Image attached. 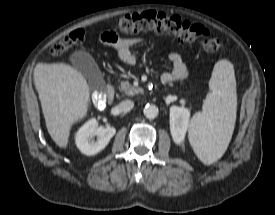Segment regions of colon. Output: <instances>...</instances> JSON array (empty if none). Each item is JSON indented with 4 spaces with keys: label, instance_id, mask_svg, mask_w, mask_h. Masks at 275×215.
<instances>
[{
    "label": "colon",
    "instance_id": "1",
    "mask_svg": "<svg viewBox=\"0 0 275 215\" xmlns=\"http://www.w3.org/2000/svg\"><path fill=\"white\" fill-rule=\"evenodd\" d=\"M116 24L123 33L154 31L169 34L180 42L198 43L205 51L211 53L221 51L224 48V43L210 36L202 25L163 12L128 13L119 17ZM84 38L85 32L83 30H75L55 42L50 53L53 56H61L73 45L83 42Z\"/></svg>",
    "mask_w": 275,
    "mask_h": 215
}]
</instances>
